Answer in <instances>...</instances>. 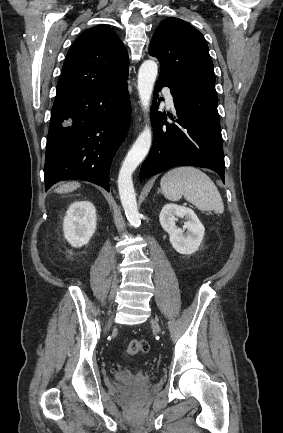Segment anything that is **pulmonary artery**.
<instances>
[{
    "mask_svg": "<svg viewBox=\"0 0 283 433\" xmlns=\"http://www.w3.org/2000/svg\"><path fill=\"white\" fill-rule=\"evenodd\" d=\"M161 94L165 96V102H166V106L171 109V110H175V103H174V98L172 96L171 93H169L167 88H162L161 89Z\"/></svg>",
    "mask_w": 283,
    "mask_h": 433,
    "instance_id": "1",
    "label": "pulmonary artery"
}]
</instances>
